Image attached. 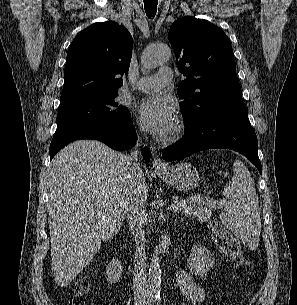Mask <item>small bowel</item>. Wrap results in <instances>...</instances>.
Listing matches in <instances>:
<instances>
[{
  "instance_id": "c3829d8e",
  "label": "small bowel",
  "mask_w": 297,
  "mask_h": 305,
  "mask_svg": "<svg viewBox=\"0 0 297 305\" xmlns=\"http://www.w3.org/2000/svg\"><path fill=\"white\" fill-rule=\"evenodd\" d=\"M177 282L182 293L194 304L202 302L206 297L204 287L197 284L192 276L185 270L177 273Z\"/></svg>"
}]
</instances>
